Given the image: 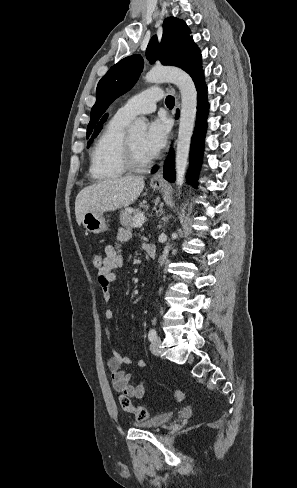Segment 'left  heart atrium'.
I'll list each match as a JSON object with an SVG mask.
<instances>
[{"label": "left heart atrium", "mask_w": 297, "mask_h": 488, "mask_svg": "<svg viewBox=\"0 0 297 488\" xmlns=\"http://www.w3.org/2000/svg\"><path fill=\"white\" fill-rule=\"evenodd\" d=\"M169 130L168 122L162 117L155 118L150 122L142 141L143 150L149 158L156 156L165 146Z\"/></svg>", "instance_id": "obj_1"}]
</instances>
